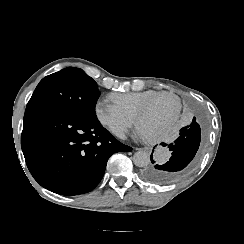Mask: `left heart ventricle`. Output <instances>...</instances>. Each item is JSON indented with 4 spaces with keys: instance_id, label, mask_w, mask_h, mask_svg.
<instances>
[{
    "instance_id": "left-heart-ventricle-1",
    "label": "left heart ventricle",
    "mask_w": 244,
    "mask_h": 244,
    "mask_svg": "<svg viewBox=\"0 0 244 244\" xmlns=\"http://www.w3.org/2000/svg\"><path fill=\"white\" fill-rule=\"evenodd\" d=\"M178 102L173 97H162L152 104L143 118L146 130L159 133L163 123L176 111Z\"/></svg>"
}]
</instances>
